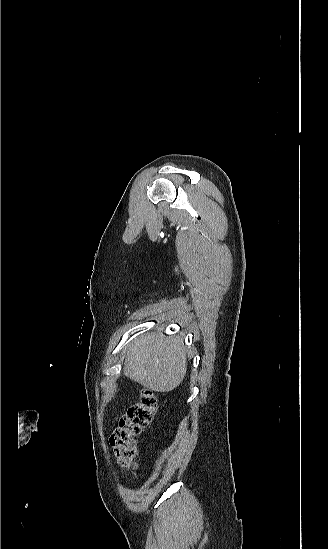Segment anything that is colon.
Returning a JSON list of instances; mask_svg holds the SVG:
<instances>
[{
	"mask_svg": "<svg viewBox=\"0 0 328 549\" xmlns=\"http://www.w3.org/2000/svg\"><path fill=\"white\" fill-rule=\"evenodd\" d=\"M157 406L156 395L150 390H144L140 401L128 409L112 434L111 445L119 465L124 470H130L134 467V460L137 455L135 437L151 422Z\"/></svg>",
	"mask_w": 328,
	"mask_h": 549,
	"instance_id": "5ec220e1",
	"label": "colon"
}]
</instances>
